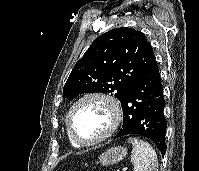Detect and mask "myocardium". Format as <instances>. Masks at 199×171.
<instances>
[{
	"instance_id": "obj_1",
	"label": "myocardium",
	"mask_w": 199,
	"mask_h": 171,
	"mask_svg": "<svg viewBox=\"0 0 199 171\" xmlns=\"http://www.w3.org/2000/svg\"><path fill=\"white\" fill-rule=\"evenodd\" d=\"M89 100H98L104 103L108 107L111 113L112 121H111L110 127L103 135L93 140L84 141L76 136L72 127L71 118L75 109L83 102H86ZM122 118H123L122 107L119 101L114 96L104 93V92H89L80 96L73 102V104L71 105V107L69 108L67 112L65 121H66L67 133L75 143H77L79 146H92L112 136L114 132L118 129L122 121Z\"/></svg>"
}]
</instances>
